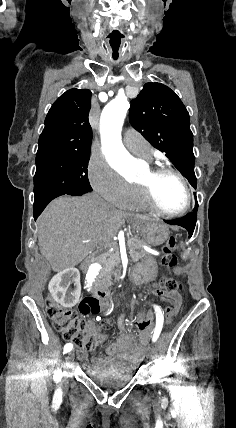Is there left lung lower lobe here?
<instances>
[{
    "label": "left lung lower lobe",
    "mask_w": 236,
    "mask_h": 428,
    "mask_svg": "<svg viewBox=\"0 0 236 428\" xmlns=\"http://www.w3.org/2000/svg\"><path fill=\"white\" fill-rule=\"evenodd\" d=\"M197 210H198V203L196 202L195 208L193 209V212L187 214L186 216L175 219V220H165L166 223H169L171 225H179L184 227L188 233L189 236H192L195 225H196V216H197Z\"/></svg>",
    "instance_id": "0a47b994"
}]
</instances>
